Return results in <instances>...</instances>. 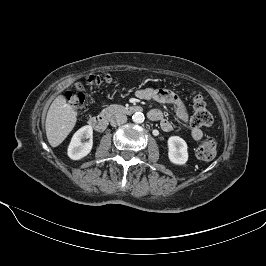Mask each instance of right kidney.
<instances>
[{"label": "right kidney", "mask_w": 266, "mask_h": 266, "mask_svg": "<svg viewBox=\"0 0 266 266\" xmlns=\"http://www.w3.org/2000/svg\"><path fill=\"white\" fill-rule=\"evenodd\" d=\"M92 137L93 129L89 125L83 126L76 131L68 146V156L72 160H79L87 156L92 150ZM84 139H87V141L83 142Z\"/></svg>", "instance_id": "ca27d5eb"}]
</instances>
